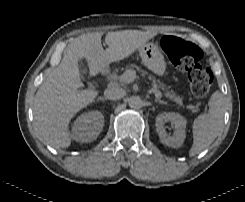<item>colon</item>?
Instances as JSON below:
<instances>
[{
  "mask_svg": "<svg viewBox=\"0 0 245 202\" xmlns=\"http://www.w3.org/2000/svg\"><path fill=\"white\" fill-rule=\"evenodd\" d=\"M161 46L172 65L179 71L188 73L193 95L204 96L212 85L213 74L200 65L201 49L197 45L173 35H165L161 40Z\"/></svg>",
  "mask_w": 245,
  "mask_h": 202,
  "instance_id": "colon-1",
  "label": "colon"
}]
</instances>
